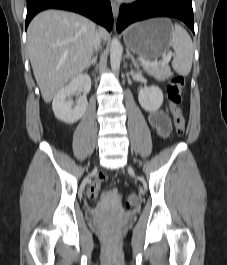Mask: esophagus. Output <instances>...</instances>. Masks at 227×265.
I'll use <instances>...</instances> for the list:
<instances>
[{"label":"esophagus","instance_id":"obj_1","mask_svg":"<svg viewBox=\"0 0 227 265\" xmlns=\"http://www.w3.org/2000/svg\"><path fill=\"white\" fill-rule=\"evenodd\" d=\"M111 8H112V12L115 18L118 17V13H119V5L116 1L111 0Z\"/></svg>","mask_w":227,"mask_h":265}]
</instances>
